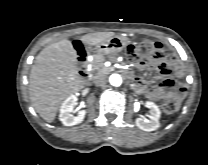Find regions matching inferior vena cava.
<instances>
[{
	"label": "inferior vena cava",
	"instance_id": "obj_1",
	"mask_svg": "<svg viewBox=\"0 0 208 165\" xmlns=\"http://www.w3.org/2000/svg\"><path fill=\"white\" fill-rule=\"evenodd\" d=\"M107 82V79L105 76H97L94 80V83L98 86L104 85Z\"/></svg>",
	"mask_w": 208,
	"mask_h": 165
}]
</instances>
